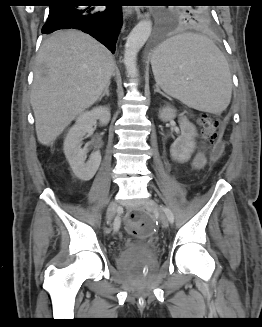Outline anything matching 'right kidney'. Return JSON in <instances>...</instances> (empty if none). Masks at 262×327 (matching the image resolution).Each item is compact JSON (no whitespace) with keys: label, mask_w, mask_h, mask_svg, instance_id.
<instances>
[{"label":"right kidney","mask_w":262,"mask_h":327,"mask_svg":"<svg viewBox=\"0 0 262 327\" xmlns=\"http://www.w3.org/2000/svg\"><path fill=\"white\" fill-rule=\"evenodd\" d=\"M110 110L108 107L100 106L93 108L91 111H86L79 115L75 125L69 130L63 150L66 159L69 162L75 175L81 180H90L97 172L101 163V154L97 150L93 152L89 160H86L85 148H82V140L84 136L92 129L96 120H99L100 125H107L110 121Z\"/></svg>","instance_id":"obj_1"}]
</instances>
